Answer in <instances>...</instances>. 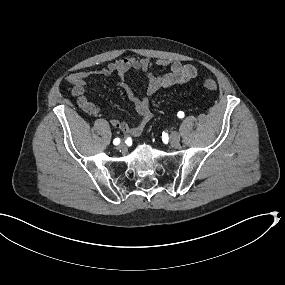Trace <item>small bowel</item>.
I'll list each match as a JSON object with an SVG mask.
<instances>
[{
  "instance_id": "small-bowel-1",
  "label": "small bowel",
  "mask_w": 285,
  "mask_h": 285,
  "mask_svg": "<svg viewBox=\"0 0 285 285\" xmlns=\"http://www.w3.org/2000/svg\"><path fill=\"white\" fill-rule=\"evenodd\" d=\"M155 65L167 69V72L162 75L153 74L151 70ZM130 70L142 71L148 75L149 81L146 88V94L142 97L137 96L133 92L131 85L125 79L126 73ZM112 74H117L120 77V86L125 90L128 99L133 103L140 119L135 125H129L116 118L111 119L110 123L124 134L131 137H137L143 132L152 119L150 97L162 88L190 82L196 77L197 70L191 64H183L168 59H159L152 62L147 57H125L117 59L97 70L73 73L68 77V81L72 85L71 93L83 111L91 115H96L99 112L98 106L89 102L85 97L88 89L86 79L98 76H110Z\"/></svg>"
}]
</instances>
